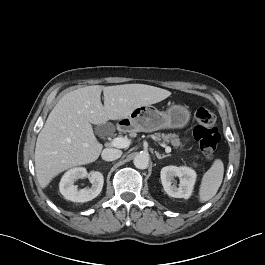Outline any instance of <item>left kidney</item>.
<instances>
[{
  "instance_id": "left-kidney-1",
  "label": "left kidney",
  "mask_w": 265,
  "mask_h": 265,
  "mask_svg": "<svg viewBox=\"0 0 265 265\" xmlns=\"http://www.w3.org/2000/svg\"><path fill=\"white\" fill-rule=\"evenodd\" d=\"M161 182L165 192L174 198L188 199L196 181V172L186 166H166L160 172ZM174 177H179L180 183L176 186Z\"/></svg>"
}]
</instances>
